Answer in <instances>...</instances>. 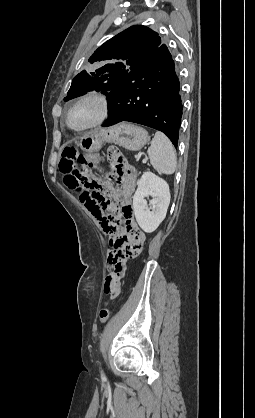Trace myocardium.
<instances>
[{"instance_id":"obj_1","label":"myocardium","mask_w":255,"mask_h":418,"mask_svg":"<svg viewBox=\"0 0 255 418\" xmlns=\"http://www.w3.org/2000/svg\"><path fill=\"white\" fill-rule=\"evenodd\" d=\"M86 101H95L98 105V114L96 116V118L90 122L88 125L81 127V128H74L71 126L70 124V114L72 112V110L79 104L86 102ZM110 113V102L108 100V98L99 92H89L86 93L82 96H80L79 98H77L68 108L67 112H66V116H65V122L66 125L69 129L75 131V132H84L90 129H93L95 127L100 126L101 124H103Z\"/></svg>"}]
</instances>
